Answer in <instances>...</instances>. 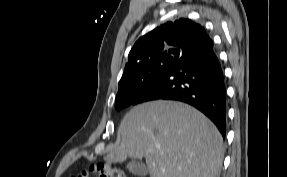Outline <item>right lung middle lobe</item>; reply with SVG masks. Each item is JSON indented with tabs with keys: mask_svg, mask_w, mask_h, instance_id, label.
<instances>
[{
	"mask_svg": "<svg viewBox=\"0 0 287 177\" xmlns=\"http://www.w3.org/2000/svg\"><path fill=\"white\" fill-rule=\"evenodd\" d=\"M179 59V56L161 59L143 70L135 78L119 84L115 108L119 111L130 106L145 89L171 70Z\"/></svg>",
	"mask_w": 287,
	"mask_h": 177,
	"instance_id": "dd1d6c3e",
	"label": "right lung middle lobe"
}]
</instances>
